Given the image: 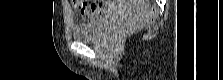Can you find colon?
Returning a JSON list of instances; mask_svg holds the SVG:
<instances>
[{
  "mask_svg": "<svg viewBox=\"0 0 223 80\" xmlns=\"http://www.w3.org/2000/svg\"><path fill=\"white\" fill-rule=\"evenodd\" d=\"M76 9L80 12L81 15L86 16L94 12L97 3H89L87 1H74ZM152 17L148 18V21H151ZM131 28L122 30V33L129 31Z\"/></svg>",
  "mask_w": 223,
  "mask_h": 80,
  "instance_id": "5ec220e1",
  "label": "colon"
}]
</instances>
